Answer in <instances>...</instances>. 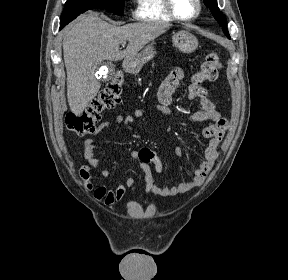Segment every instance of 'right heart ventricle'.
Instances as JSON below:
<instances>
[{"label": "right heart ventricle", "instance_id": "e07e8e85", "mask_svg": "<svg viewBox=\"0 0 288 280\" xmlns=\"http://www.w3.org/2000/svg\"><path fill=\"white\" fill-rule=\"evenodd\" d=\"M135 17L144 22L168 23L173 21L166 12L163 0H136Z\"/></svg>", "mask_w": 288, "mask_h": 280}]
</instances>
